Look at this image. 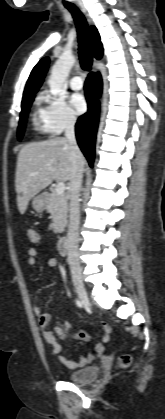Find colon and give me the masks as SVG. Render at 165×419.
<instances>
[{
  "mask_svg": "<svg viewBox=\"0 0 165 419\" xmlns=\"http://www.w3.org/2000/svg\"><path fill=\"white\" fill-rule=\"evenodd\" d=\"M28 237H29L30 241L34 242V243L38 242V240H39V236L34 229H29L28 230ZM100 329L104 333L103 337L107 336V332H108L107 324H105V323L100 324ZM130 363H131V356L129 354H124V355L121 356V358H120V366L121 367H127Z\"/></svg>",
  "mask_w": 165,
  "mask_h": 419,
  "instance_id": "colon-1",
  "label": "colon"
}]
</instances>
